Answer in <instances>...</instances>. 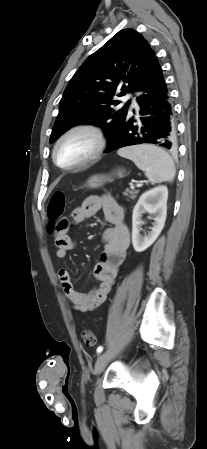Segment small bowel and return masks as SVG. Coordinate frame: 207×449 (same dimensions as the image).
Segmentation results:
<instances>
[{"label": "small bowel", "instance_id": "obj_1", "mask_svg": "<svg viewBox=\"0 0 207 449\" xmlns=\"http://www.w3.org/2000/svg\"><path fill=\"white\" fill-rule=\"evenodd\" d=\"M102 211L110 227L103 234V251L93 273L100 281L99 286L88 293L75 289L71 276L66 269L58 271L62 290L72 305L79 312H89L97 309L110 293L118 271L124 262L129 243V230L125 224L124 208L112 197H88L79 207L73 210L68 218L58 224L55 234L56 257L64 259L68 251L74 248V241L69 235L72 225L82 223L85 219Z\"/></svg>", "mask_w": 207, "mask_h": 449}]
</instances>
